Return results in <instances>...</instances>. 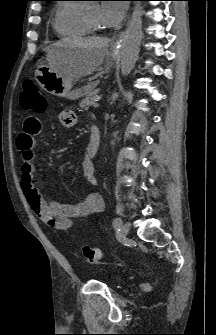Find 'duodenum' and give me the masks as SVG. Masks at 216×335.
Segmentation results:
<instances>
[{
	"instance_id": "1",
	"label": "duodenum",
	"mask_w": 216,
	"mask_h": 335,
	"mask_svg": "<svg viewBox=\"0 0 216 335\" xmlns=\"http://www.w3.org/2000/svg\"><path fill=\"white\" fill-rule=\"evenodd\" d=\"M90 134L93 140H99L100 139V134L97 126L93 125L90 129Z\"/></svg>"
}]
</instances>
